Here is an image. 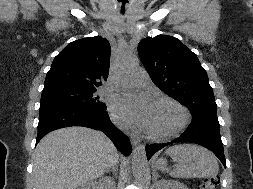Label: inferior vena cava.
<instances>
[{
  "instance_id": "inferior-vena-cava-1",
  "label": "inferior vena cava",
  "mask_w": 253,
  "mask_h": 189,
  "mask_svg": "<svg viewBox=\"0 0 253 189\" xmlns=\"http://www.w3.org/2000/svg\"><path fill=\"white\" fill-rule=\"evenodd\" d=\"M114 154H115V156H116V157H118V158H119V157H121V156H122V154H123V153H122V151H121V150H119V149H118V150H116V151H115V153H114ZM118 161H119L118 163H121V164H122V163H124V161H125V160H124V158H122V157H121V158H119V160H118Z\"/></svg>"
}]
</instances>
